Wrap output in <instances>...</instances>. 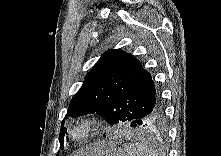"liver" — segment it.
<instances>
[{
  "mask_svg": "<svg viewBox=\"0 0 221 156\" xmlns=\"http://www.w3.org/2000/svg\"><path fill=\"white\" fill-rule=\"evenodd\" d=\"M105 148V145H95L86 149L85 154L94 155L96 151Z\"/></svg>",
  "mask_w": 221,
  "mask_h": 156,
  "instance_id": "6515ba94",
  "label": "liver"
}]
</instances>
